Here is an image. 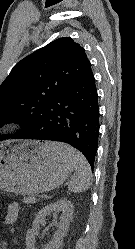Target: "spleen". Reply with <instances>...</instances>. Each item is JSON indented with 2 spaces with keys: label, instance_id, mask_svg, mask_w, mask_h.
<instances>
[{
  "label": "spleen",
  "instance_id": "3e777b00",
  "mask_svg": "<svg viewBox=\"0 0 135 249\" xmlns=\"http://www.w3.org/2000/svg\"><path fill=\"white\" fill-rule=\"evenodd\" d=\"M54 147L72 162L75 170L68 183V190L75 193L88 190L92 175L86 158L76 149L66 144L55 143Z\"/></svg>",
  "mask_w": 135,
  "mask_h": 249
}]
</instances>
